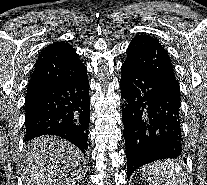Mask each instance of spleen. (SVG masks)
<instances>
[{
	"label": "spleen",
	"mask_w": 207,
	"mask_h": 185,
	"mask_svg": "<svg viewBox=\"0 0 207 185\" xmlns=\"http://www.w3.org/2000/svg\"><path fill=\"white\" fill-rule=\"evenodd\" d=\"M140 171L137 177H147L151 185H179L186 179L184 167L173 159H153L149 166H140Z\"/></svg>",
	"instance_id": "1"
}]
</instances>
